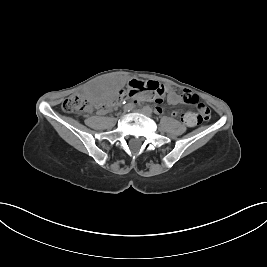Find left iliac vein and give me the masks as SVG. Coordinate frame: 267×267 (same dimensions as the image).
I'll list each match as a JSON object with an SVG mask.
<instances>
[{
  "label": "left iliac vein",
  "instance_id": "obj_1",
  "mask_svg": "<svg viewBox=\"0 0 267 267\" xmlns=\"http://www.w3.org/2000/svg\"><path fill=\"white\" fill-rule=\"evenodd\" d=\"M139 112L146 115V116H151V114H152L149 111H147L145 108L140 109Z\"/></svg>",
  "mask_w": 267,
  "mask_h": 267
}]
</instances>
